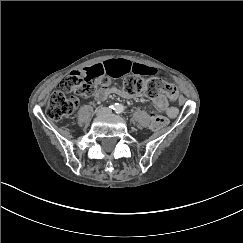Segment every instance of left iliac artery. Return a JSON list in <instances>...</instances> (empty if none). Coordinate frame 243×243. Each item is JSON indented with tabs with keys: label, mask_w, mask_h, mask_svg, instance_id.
<instances>
[{
	"label": "left iliac artery",
	"mask_w": 243,
	"mask_h": 243,
	"mask_svg": "<svg viewBox=\"0 0 243 243\" xmlns=\"http://www.w3.org/2000/svg\"><path fill=\"white\" fill-rule=\"evenodd\" d=\"M117 113H122L123 112V108L122 107H119L117 110H116Z\"/></svg>",
	"instance_id": "44dca946"
}]
</instances>
